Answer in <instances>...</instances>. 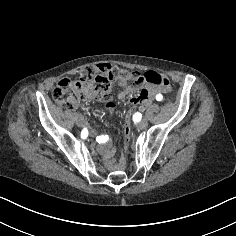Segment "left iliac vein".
Masks as SVG:
<instances>
[{"label":"left iliac vein","mask_w":236,"mask_h":236,"mask_svg":"<svg viewBox=\"0 0 236 236\" xmlns=\"http://www.w3.org/2000/svg\"><path fill=\"white\" fill-rule=\"evenodd\" d=\"M147 125H148V122L145 119H142L140 124H135V127L137 130L142 131L145 129Z\"/></svg>","instance_id":"obj_1"}]
</instances>
